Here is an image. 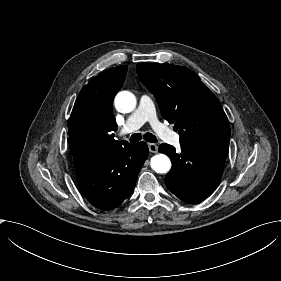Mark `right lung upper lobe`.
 Returning <instances> with one entry per match:
<instances>
[{
  "label": "right lung upper lobe",
  "instance_id": "right-lung-upper-lobe-1",
  "mask_svg": "<svg viewBox=\"0 0 281 281\" xmlns=\"http://www.w3.org/2000/svg\"><path fill=\"white\" fill-rule=\"evenodd\" d=\"M126 72L127 66L111 68L82 88L68 121L72 155L84 149H114L128 143L116 141L112 134L117 130L112 102L125 81Z\"/></svg>",
  "mask_w": 281,
  "mask_h": 281
}]
</instances>
